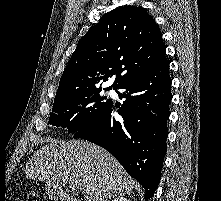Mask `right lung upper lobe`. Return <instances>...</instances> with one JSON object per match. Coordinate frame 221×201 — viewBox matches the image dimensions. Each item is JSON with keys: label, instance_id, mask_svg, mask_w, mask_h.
<instances>
[{"label": "right lung upper lobe", "instance_id": "obj_1", "mask_svg": "<svg viewBox=\"0 0 221 201\" xmlns=\"http://www.w3.org/2000/svg\"><path fill=\"white\" fill-rule=\"evenodd\" d=\"M165 60V44L154 19L142 7H119L105 14L78 42L55 99L97 88L114 74L108 89H115Z\"/></svg>", "mask_w": 221, "mask_h": 201}]
</instances>
